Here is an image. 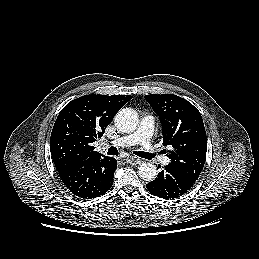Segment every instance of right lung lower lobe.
<instances>
[{"label": "right lung lower lobe", "mask_w": 259, "mask_h": 259, "mask_svg": "<svg viewBox=\"0 0 259 259\" xmlns=\"http://www.w3.org/2000/svg\"><path fill=\"white\" fill-rule=\"evenodd\" d=\"M116 167V159L103 157L78 162L58 171V174L73 194L91 199L103 195L111 188Z\"/></svg>", "instance_id": "98d812e1"}]
</instances>
